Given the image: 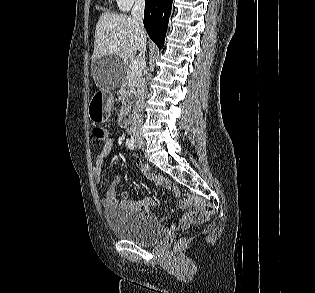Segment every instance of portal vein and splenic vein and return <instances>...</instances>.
Returning <instances> with one entry per match:
<instances>
[{"instance_id":"portal-vein-and-splenic-vein-1","label":"portal vein and splenic vein","mask_w":315,"mask_h":293,"mask_svg":"<svg viewBox=\"0 0 315 293\" xmlns=\"http://www.w3.org/2000/svg\"><path fill=\"white\" fill-rule=\"evenodd\" d=\"M138 70V63L136 61H133L129 65V72H136Z\"/></svg>"}]
</instances>
